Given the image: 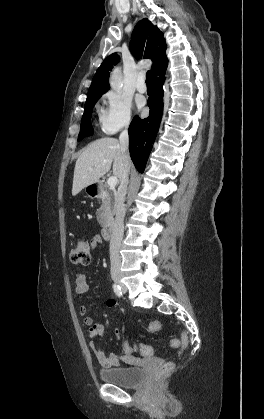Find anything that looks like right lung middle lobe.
Segmentation results:
<instances>
[{
    "instance_id": "obj_1",
    "label": "right lung middle lobe",
    "mask_w": 264,
    "mask_h": 419,
    "mask_svg": "<svg viewBox=\"0 0 264 419\" xmlns=\"http://www.w3.org/2000/svg\"><path fill=\"white\" fill-rule=\"evenodd\" d=\"M100 96L101 95L93 96L86 100L85 110H84V114H83L82 122H81L80 133L78 136V141L82 140L86 136L93 134V129H92L90 118L92 114V109L95 103L97 102V100L100 98Z\"/></svg>"
}]
</instances>
